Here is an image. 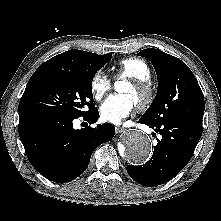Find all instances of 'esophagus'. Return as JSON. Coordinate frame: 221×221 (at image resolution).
Here are the masks:
<instances>
[{"instance_id": "34e87169", "label": "esophagus", "mask_w": 221, "mask_h": 221, "mask_svg": "<svg viewBox=\"0 0 221 221\" xmlns=\"http://www.w3.org/2000/svg\"><path fill=\"white\" fill-rule=\"evenodd\" d=\"M115 131L117 134L123 133L125 130L122 127H115Z\"/></svg>"}]
</instances>
